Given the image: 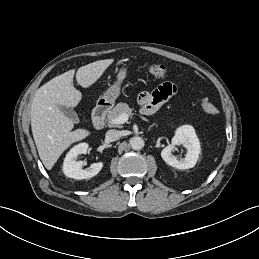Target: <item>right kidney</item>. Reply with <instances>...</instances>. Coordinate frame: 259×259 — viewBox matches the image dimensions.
Segmentation results:
<instances>
[{"mask_svg": "<svg viewBox=\"0 0 259 259\" xmlns=\"http://www.w3.org/2000/svg\"><path fill=\"white\" fill-rule=\"evenodd\" d=\"M88 147L87 143H80L67 153L63 163V172L67 177L77 180L89 179L101 171L103 167L102 162L93 163L89 168L82 169V162L77 161L78 156L85 154Z\"/></svg>", "mask_w": 259, "mask_h": 259, "instance_id": "ca27d5eb", "label": "right kidney"}]
</instances>
